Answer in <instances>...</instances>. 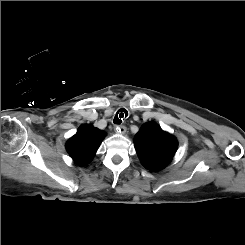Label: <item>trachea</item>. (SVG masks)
Here are the masks:
<instances>
[{
	"label": "trachea",
	"instance_id": "1",
	"mask_svg": "<svg viewBox=\"0 0 245 245\" xmlns=\"http://www.w3.org/2000/svg\"><path fill=\"white\" fill-rule=\"evenodd\" d=\"M128 116V111L124 108H121L117 111L113 123L115 124H121L123 120Z\"/></svg>",
	"mask_w": 245,
	"mask_h": 245
}]
</instances>
